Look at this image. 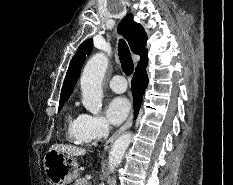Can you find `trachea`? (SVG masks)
Masks as SVG:
<instances>
[{
    "instance_id": "obj_1",
    "label": "trachea",
    "mask_w": 233,
    "mask_h": 185,
    "mask_svg": "<svg viewBox=\"0 0 233 185\" xmlns=\"http://www.w3.org/2000/svg\"><path fill=\"white\" fill-rule=\"evenodd\" d=\"M118 55L124 73L126 75L132 74L134 70V64L131 58L129 48L123 40H120L119 42Z\"/></svg>"
}]
</instances>
